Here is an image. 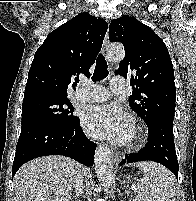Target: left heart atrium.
I'll list each match as a JSON object with an SVG mask.
<instances>
[{
    "label": "left heart atrium",
    "instance_id": "obj_1",
    "mask_svg": "<svg viewBox=\"0 0 196 201\" xmlns=\"http://www.w3.org/2000/svg\"><path fill=\"white\" fill-rule=\"evenodd\" d=\"M82 125L94 138H108L118 144L127 143L134 130L132 116L117 105L89 106L82 115Z\"/></svg>",
    "mask_w": 196,
    "mask_h": 201
}]
</instances>
